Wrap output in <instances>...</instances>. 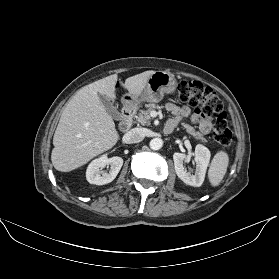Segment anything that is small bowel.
I'll use <instances>...</instances> for the list:
<instances>
[{"mask_svg":"<svg viewBox=\"0 0 279 279\" xmlns=\"http://www.w3.org/2000/svg\"><path fill=\"white\" fill-rule=\"evenodd\" d=\"M166 109L172 114V117L166 124V131H171L183 118H189L192 122L198 124L199 130L203 134H208L211 130V122L208 119L201 118L199 114L192 112L187 106L179 107L168 103Z\"/></svg>","mask_w":279,"mask_h":279,"instance_id":"obj_1","label":"small bowel"}]
</instances>
